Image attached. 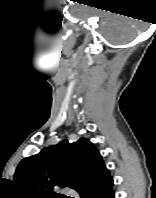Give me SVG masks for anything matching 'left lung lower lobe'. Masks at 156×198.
<instances>
[{"instance_id":"1","label":"left lung lower lobe","mask_w":156,"mask_h":198,"mask_svg":"<svg viewBox=\"0 0 156 198\" xmlns=\"http://www.w3.org/2000/svg\"><path fill=\"white\" fill-rule=\"evenodd\" d=\"M79 194L81 198H115L110 172L108 170L104 172L93 185Z\"/></svg>"}]
</instances>
